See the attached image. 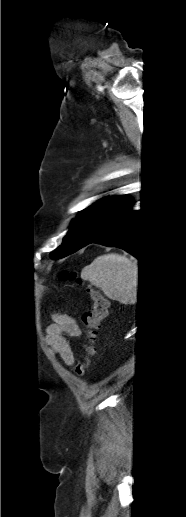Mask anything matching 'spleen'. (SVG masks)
<instances>
[{
    "instance_id": "spleen-1",
    "label": "spleen",
    "mask_w": 186,
    "mask_h": 517,
    "mask_svg": "<svg viewBox=\"0 0 186 517\" xmlns=\"http://www.w3.org/2000/svg\"><path fill=\"white\" fill-rule=\"evenodd\" d=\"M81 277L112 300L133 304L138 295V263L119 254H105L84 267Z\"/></svg>"
}]
</instances>
